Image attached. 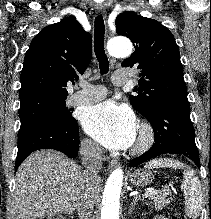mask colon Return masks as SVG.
Instances as JSON below:
<instances>
[{
    "instance_id": "5ec220e1",
    "label": "colon",
    "mask_w": 211,
    "mask_h": 219,
    "mask_svg": "<svg viewBox=\"0 0 211 219\" xmlns=\"http://www.w3.org/2000/svg\"><path fill=\"white\" fill-rule=\"evenodd\" d=\"M42 219H67L64 216H49ZM171 219H187L183 214L177 213L172 216Z\"/></svg>"
}]
</instances>
